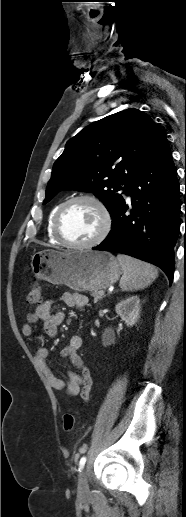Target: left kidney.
Segmentation results:
<instances>
[{
	"label": "left kidney",
	"instance_id": "obj_1",
	"mask_svg": "<svg viewBox=\"0 0 186 517\" xmlns=\"http://www.w3.org/2000/svg\"><path fill=\"white\" fill-rule=\"evenodd\" d=\"M140 309L141 305L138 296H131L125 300L120 301L115 306L116 313L123 321H125L126 325L129 327L133 326L137 322Z\"/></svg>",
	"mask_w": 186,
	"mask_h": 517
}]
</instances>
